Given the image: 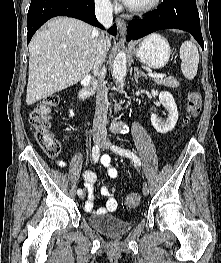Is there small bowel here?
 Listing matches in <instances>:
<instances>
[{"instance_id": "small-bowel-1", "label": "small bowel", "mask_w": 221, "mask_h": 263, "mask_svg": "<svg viewBox=\"0 0 221 263\" xmlns=\"http://www.w3.org/2000/svg\"><path fill=\"white\" fill-rule=\"evenodd\" d=\"M57 164L62 168L66 166V163L63 161H58ZM101 164L107 168V175L110 179H115L117 177L118 172L111 166V158L107 154L101 156ZM82 177L85 181V188L88 193L87 201L84 204V208L87 212L105 214L114 211L117 208V200L114 197L115 189L108 184H104L101 188V193L107 197V201L104 205L95 209L93 185L97 182L98 178L92 171H84Z\"/></svg>"}]
</instances>
